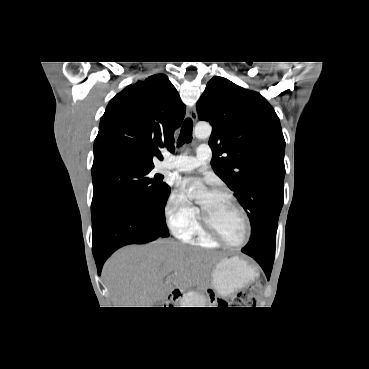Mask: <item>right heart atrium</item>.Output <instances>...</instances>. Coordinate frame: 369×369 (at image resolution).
Listing matches in <instances>:
<instances>
[{
    "instance_id": "obj_1",
    "label": "right heart atrium",
    "mask_w": 369,
    "mask_h": 369,
    "mask_svg": "<svg viewBox=\"0 0 369 369\" xmlns=\"http://www.w3.org/2000/svg\"><path fill=\"white\" fill-rule=\"evenodd\" d=\"M165 217L171 229L179 235L190 233L197 222L198 210L184 194L172 191L165 204Z\"/></svg>"
}]
</instances>
